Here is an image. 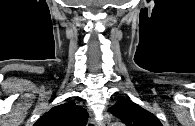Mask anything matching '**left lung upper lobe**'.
<instances>
[{"instance_id": "obj_1", "label": "left lung upper lobe", "mask_w": 195, "mask_h": 126, "mask_svg": "<svg viewBox=\"0 0 195 126\" xmlns=\"http://www.w3.org/2000/svg\"><path fill=\"white\" fill-rule=\"evenodd\" d=\"M109 111L122 120L126 126H162L161 122L149 111L128 98L120 100Z\"/></svg>"}]
</instances>
